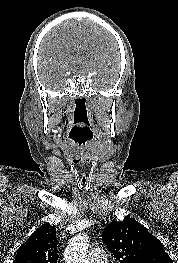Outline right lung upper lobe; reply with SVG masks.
<instances>
[{
    "label": "right lung upper lobe",
    "instance_id": "1",
    "mask_svg": "<svg viewBox=\"0 0 178 263\" xmlns=\"http://www.w3.org/2000/svg\"><path fill=\"white\" fill-rule=\"evenodd\" d=\"M57 259L56 229L47 223L21 245L13 263H57Z\"/></svg>",
    "mask_w": 178,
    "mask_h": 263
}]
</instances>
